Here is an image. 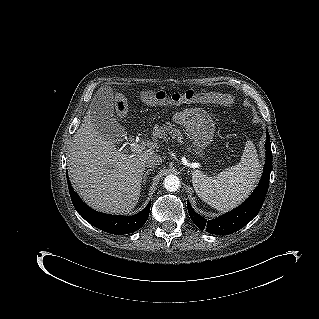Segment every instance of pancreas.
Returning a JSON list of instances; mask_svg holds the SVG:
<instances>
[{
    "label": "pancreas",
    "instance_id": "obj_1",
    "mask_svg": "<svg viewBox=\"0 0 319 319\" xmlns=\"http://www.w3.org/2000/svg\"><path fill=\"white\" fill-rule=\"evenodd\" d=\"M154 135L159 138H166L168 135H171L173 138L178 137L179 140L182 139L181 131L172 123H167V125H162L160 127L156 126L154 128Z\"/></svg>",
    "mask_w": 319,
    "mask_h": 319
}]
</instances>
